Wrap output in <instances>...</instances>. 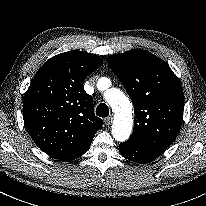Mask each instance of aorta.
Returning <instances> with one entry per match:
<instances>
[{
  "mask_svg": "<svg viewBox=\"0 0 206 206\" xmlns=\"http://www.w3.org/2000/svg\"><path fill=\"white\" fill-rule=\"evenodd\" d=\"M107 82H109L107 78H101L98 85ZM104 97L115 113L112 135L115 140L124 142L129 138L133 128L132 104L128 97L117 88L106 90Z\"/></svg>",
  "mask_w": 206,
  "mask_h": 206,
  "instance_id": "762f6f07",
  "label": "aorta"
}]
</instances>
